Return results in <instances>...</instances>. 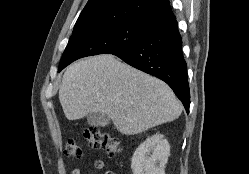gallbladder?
Returning <instances> with one entry per match:
<instances>
[{
    "instance_id": "gallbladder-1",
    "label": "gallbladder",
    "mask_w": 249,
    "mask_h": 174,
    "mask_svg": "<svg viewBox=\"0 0 249 174\" xmlns=\"http://www.w3.org/2000/svg\"><path fill=\"white\" fill-rule=\"evenodd\" d=\"M87 122L92 126H106L110 124V118L103 113H90L87 116Z\"/></svg>"
}]
</instances>
